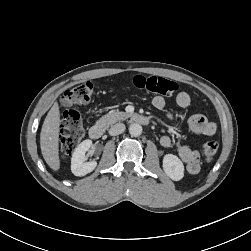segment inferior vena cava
Segmentation results:
<instances>
[{
    "label": "inferior vena cava",
    "instance_id": "obj_1",
    "mask_svg": "<svg viewBox=\"0 0 251 251\" xmlns=\"http://www.w3.org/2000/svg\"><path fill=\"white\" fill-rule=\"evenodd\" d=\"M125 131V125L123 123H117L109 129V134L111 136H116Z\"/></svg>",
    "mask_w": 251,
    "mask_h": 251
}]
</instances>
